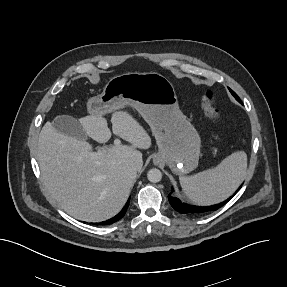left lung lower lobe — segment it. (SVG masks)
<instances>
[{
    "label": "left lung lower lobe",
    "instance_id": "0a47b994",
    "mask_svg": "<svg viewBox=\"0 0 287 287\" xmlns=\"http://www.w3.org/2000/svg\"><path fill=\"white\" fill-rule=\"evenodd\" d=\"M231 198L232 197L216 205L202 207V206H194V205L186 204L180 201L178 198L172 196V192L168 195L169 203L173 207V209L176 210L178 213L187 215V216H199V215L209 213L211 211H215L219 209L220 207H222L223 205H225Z\"/></svg>",
    "mask_w": 287,
    "mask_h": 287
}]
</instances>
